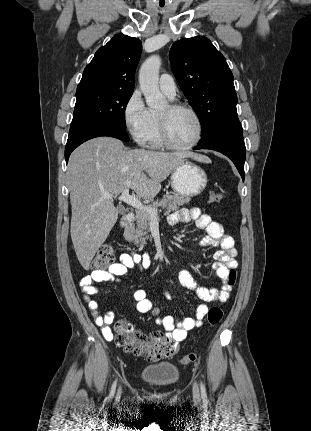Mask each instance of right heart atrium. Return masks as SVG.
Wrapping results in <instances>:
<instances>
[{
  "label": "right heart atrium",
  "mask_w": 311,
  "mask_h": 431,
  "mask_svg": "<svg viewBox=\"0 0 311 431\" xmlns=\"http://www.w3.org/2000/svg\"><path fill=\"white\" fill-rule=\"evenodd\" d=\"M150 112L144 104L139 90L131 92L123 107V121L126 131L138 144L146 143V130Z\"/></svg>",
  "instance_id": "obj_1"
}]
</instances>
